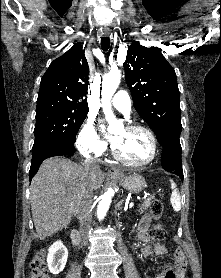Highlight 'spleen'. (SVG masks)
<instances>
[{
    "label": "spleen",
    "mask_w": 221,
    "mask_h": 278,
    "mask_svg": "<svg viewBox=\"0 0 221 278\" xmlns=\"http://www.w3.org/2000/svg\"><path fill=\"white\" fill-rule=\"evenodd\" d=\"M170 182H171V188H172L170 203H171L174 211L179 212L181 210V197H180L178 189L176 188V184L173 182V180H170Z\"/></svg>",
    "instance_id": "spleen-1"
}]
</instances>
